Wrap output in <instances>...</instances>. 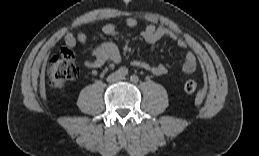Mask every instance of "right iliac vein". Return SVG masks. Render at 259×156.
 I'll return each instance as SVG.
<instances>
[{"label":"right iliac vein","instance_id":"obj_1","mask_svg":"<svg viewBox=\"0 0 259 156\" xmlns=\"http://www.w3.org/2000/svg\"><path fill=\"white\" fill-rule=\"evenodd\" d=\"M117 79H118V74L117 73H114L111 76H109V80L110 81H116Z\"/></svg>","mask_w":259,"mask_h":156}]
</instances>
